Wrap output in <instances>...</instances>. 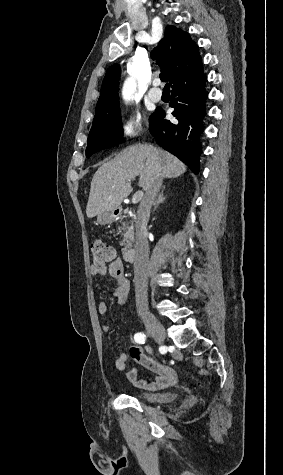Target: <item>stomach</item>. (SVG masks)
<instances>
[{
    "label": "stomach",
    "instance_id": "1",
    "mask_svg": "<svg viewBox=\"0 0 283 475\" xmlns=\"http://www.w3.org/2000/svg\"><path fill=\"white\" fill-rule=\"evenodd\" d=\"M115 218L114 212H101V214L97 216V222L101 224V226H105V224H112Z\"/></svg>",
    "mask_w": 283,
    "mask_h": 475
}]
</instances>
